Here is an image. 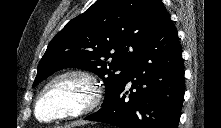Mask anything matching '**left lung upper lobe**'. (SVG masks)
<instances>
[{
  "label": "left lung upper lobe",
  "instance_id": "obj_1",
  "mask_svg": "<svg viewBox=\"0 0 221 128\" xmlns=\"http://www.w3.org/2000/svg\"><path fill=\"white\" fill-rule=\"evenodd\" d=\"M168 16L160 0H97L51 40L33 87L63 68L88 70L104 81L105 106L124 85L137 52Z\"/></svg>",
  "mask_w": 221,
  "mask_h": 128
}]
</instances>
